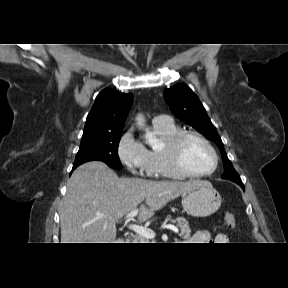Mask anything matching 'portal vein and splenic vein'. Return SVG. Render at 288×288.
Instances as JSON below:
<instances>
[{"label":"portal vein and splenic vein","mask_w":288,"mask_h":288,"mask_svg":"<svg viewBox=\"0 0 288 288\" xmlns=\"http://www.w3.org/2000/svg\"><path fill=\"white\" fill-rule=\"evenodd\" d=\"M139 210L138 209H134L131 212H129L128 214H126L125 216V221H129L131 218L137 216ZM128 228L132 231H134L135 233H137L140 236H143L147 239H153L155 237V233L154 231H152L149 228L143 227L141 225H136V224H129ZM163 229H169L174 231L175 233H178L177 228H175L172 225H163L162 226Z\"/></svg>","instance_id":"obj_1"}]
</instances>
